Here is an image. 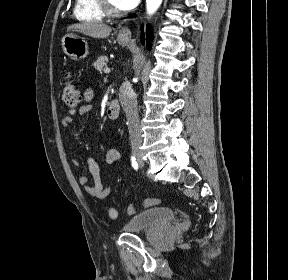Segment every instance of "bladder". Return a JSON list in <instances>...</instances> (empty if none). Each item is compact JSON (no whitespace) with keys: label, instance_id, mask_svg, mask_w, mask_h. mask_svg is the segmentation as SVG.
<instances>
[{"label":"bladder","instance_id":"1","mask_svg":"<svg viewBox=\"0 0 288 280\" xmlns=\"http://www.w3.org/2000/svg\"><path fill=\"white\" fill-rule=\"evenodd\" d=\"M175 217V211L169 207L149 208L128 219L123 231L127 233L156 231L169 225Z\"/></svg>","mask_w":288,"mask_h":280}]
</instances>
